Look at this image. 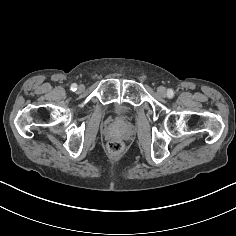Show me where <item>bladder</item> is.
Here are the masks:
<instances>
[{"label":"bladder","mask_w":236,"mask_h":236,"mask_svg":"<svg viewBox=\"0 0 236 236\" xmlns=\"http://www.w3.org/2000/svg\"><path fill=\"white\" fill-rule=\"evenodd\" d=\"M114 112L118 115H129L130 109L124 103H116L113 108Z\"/></svg>","instance_id":"1"}]
</instances>
